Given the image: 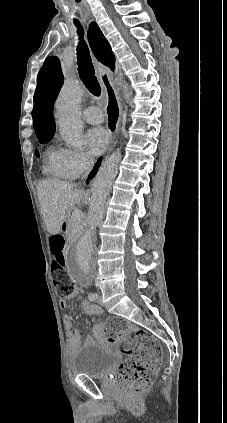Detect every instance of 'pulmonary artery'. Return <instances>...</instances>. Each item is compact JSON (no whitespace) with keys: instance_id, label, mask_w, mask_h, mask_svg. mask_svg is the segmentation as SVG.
Segmentation results:
<instances>
[{"instance_id":"obj_1","label":"pulmonary artery","mask_w":227,"mask_h":423,"mask_svg":"<svg viewBox=\"0 0 227 423\" xmlns=\"http://www.w3.org/2000/svg\"><path fill=\"white\" fill-rule=\"evenodd\" d=\"M82 117L90 125H100L104 121L102 110L95 106L86 108L83 111Z\"/></svg>"}]
</instances>
